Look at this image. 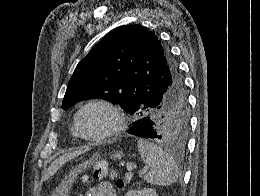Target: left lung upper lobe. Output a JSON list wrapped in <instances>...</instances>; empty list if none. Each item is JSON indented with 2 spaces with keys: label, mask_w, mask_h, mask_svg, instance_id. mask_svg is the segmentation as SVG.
Returning a JSON list of instances; mask_svg holds the SVG:
<instances>
[{
  "label": "left lung upper lobe",
  "mask_w": 260,
  "mask_h": 196,
  "mask_svg": "<svg viewBox=\"0 0 260 196\" xmlns=\"http://www.w3.org/2000/svg\"><path fill=\"white\" fill-rule=\"evenodd\" d=\"M91 98L120 104L136 121L150 119L157 141L185 147L189 111L183 81L169 49L145 27L115 28L78 63L62 108Z\"/></svg>",
  "instance_id": "obj_1"
}]
</instances>
